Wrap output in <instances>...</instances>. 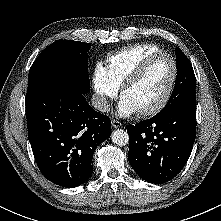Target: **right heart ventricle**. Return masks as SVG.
<instances>
[{
	"mask_svg": "<svg viewBox=\"0 0 221 221\" xmlns=\"http://www.w3.org/2000/svg\"><path fill=\"white\" fill-rule=\"evenodd\" d=\"M160 48L151 43L134 44L106 56V69L119 87L131 70L149 54L159 52Z\"/></svg>",
	"mask_w": 221,
	"mask_h": 221,
	"instance_id": "right-heart-ventricle-1",
	"label": "right heart ventricle"
}]
</instances>
